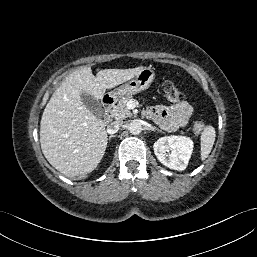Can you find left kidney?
Segmentation results:
<instances>
[{
  "label": "left kidney",
  "mask_w": 257,
  "mask_h": 257,
  "mask_svg": "<svg viewBox=\"0 0 257 257\" xmlns=\"http://www.w3.org/2000/svg\"><path fill=\"white\" fill-rule=\"evenodd\" d=\"M158 160L168 168L182 171L187 167L193 151V141L185 136H166L153 145ZM171 150V154L167 152Z\"/></svg>",
  "instance_id": "5707ae66"
}]
</instances>
